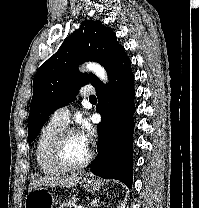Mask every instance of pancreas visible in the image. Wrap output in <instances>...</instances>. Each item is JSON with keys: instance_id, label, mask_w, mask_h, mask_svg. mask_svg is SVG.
Listing matches in <instances>:
<instances>
[{"instance_id": "cf45deb5", "label": "pancreas", "mask_w": 199, "mask_h": 208, "mask_svg": "<svg viewBox=\"0 0 199 208\" xmlns=\"http://www.w3.org/2000/svg\"><path fill=\"white\" fill-rule=\"evenodd\" d=\"M58 208H72L71 201H63L59 204Z\"/></svg>"}]
</instances>
